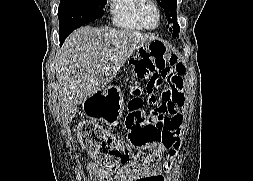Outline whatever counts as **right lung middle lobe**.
Returning a JSON list of instances; mask_svg holds the SVG:
<instances>
[{"label": "right lung middle lobe", "instance_id": "right-lung-middle-lobe-1", "mask_svg": "<svg viewBox=\"0 0 253 181\" xmlns=\"http://www.w3.org/2000/svg\"><path fill=\"white\" fill-rule=\"evenodd\" d=\"M105 3L106 0H61L59 35L70 34L81 25L103 16Z\"/></svg>", "mask_w": 253, "mask_h": 181}]
</instances>
